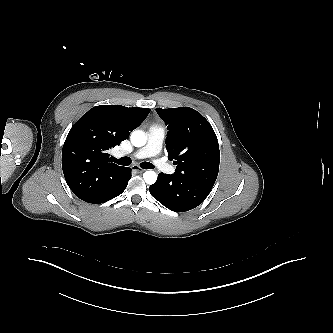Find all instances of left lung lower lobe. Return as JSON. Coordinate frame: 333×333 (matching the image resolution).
Listing matches in <instances>:
<instances>
[{"label":"left lung lower lobe","mask_w":333,"mask_h":333,"mask_svg":"<svg viewBox=\"0 0 333 333\" xmlns=\"http://www.w3.org/2000/svg\"><path fill=\"white\" fill-rule=\"evenodd\" d=\"M213 186L181 180L174 174L160 173L150 186L151 195L162 205L175 212H185L200 205Z\"/></svg>","instance_id":"left-lung-lower-lobe-1"}]
</instances>
